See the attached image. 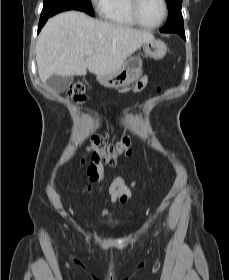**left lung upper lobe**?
Returning <instances> with one entry per match:
<instances>
[{
    "instance_id": "5c2ea615",
    "label": "left lung upper lobe",
    "mask_w": 229,
    "mask_h": 280,
    "mask_svg": "<svg viewBox=\"0 0 229 280\" xmlns=\"http://www.w3.org/2000/svg\"><path fill=\"white\" fill-rule=\"evenodd\" d=\"M166 2L168 5V19L160 31L165 33L183 31L182 0H166Z\"/></svg>"
}]
</instances>
